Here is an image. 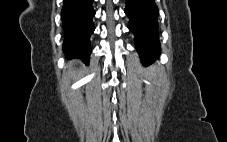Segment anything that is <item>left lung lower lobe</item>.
<instances>
[{
  "mask_svg": "<svg viewBox=\"0 0 227 142\" xmlns=\"http://www.w3.org/2000/svg\"><path fill=\"white\" fill-rule=\"evenodd\" d=\"M128 28L134 33L136 49L143 62L156 59L160 53L158 8L154 0H126Z\"/></svg>",
  "mask_w": 227,
  "mask_h": 142,
  "instance_id": "0a47b994",
  "label": "left lung lower lobe"
}]
</instances>
